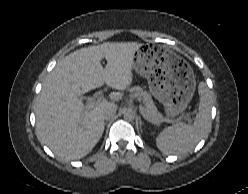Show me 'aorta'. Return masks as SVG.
Returning a JSON list of instances; mask_svg holds the SVG:
<instances>
[{
	"label": "aorta",
	"mask_w": 248,
	"mask_h": 194,
	"mask_svg": "<svg viewBox=\"0 0 248 194\" xmlns=\"http://www.w3.org/2000/svg\"><path fill=\"white\" fill-rule=\"evenodd\" d=\"M123 117L126 121H132L135 118L134 112L131 110H126L123 114Z\"/></svg>",
	"instance_id": "obj_1"
}]
</instances>
